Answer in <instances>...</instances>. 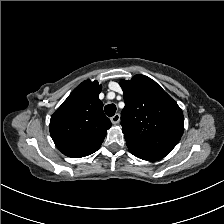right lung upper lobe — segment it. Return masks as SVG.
<instances>
[{
    "mask_svg": "<svg viewBox=\"0 0 224 224\" xmlns=\"http://www.w3.org/2000/svg\"><path fill=\"white\" fill-rule=\"evenodd\" d=\"M101 88L97 81L86 80L72 91L51 116L50 134L54 142H72L82 156L99 149L111 127L99 99Z\"/></svg>",
    "mask_w": 224,
    "mask_h": 224,
    "instance_id": "1",
    "label": "right lung upper lobe"
}]
</instances>
